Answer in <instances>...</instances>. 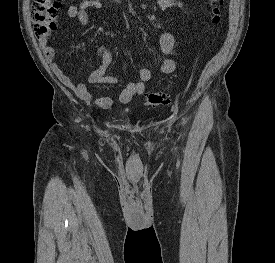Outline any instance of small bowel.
<instances>
[{
	"label": "small bowel",
	"instance_id": "obj_1",
	"mask_svg": "<svg viewBox=\"0 0 275 263\" xmlns=\"http://www.w3.org/2000/svg\"><path fill=\"white\" fill-rule=\"evenodd\" d=\"M157 6L162 11L172 7L182 8L187 11V8L180 0H157ZM90 9L102 10L104 9V4L101 0H83L78 4L70 5L66 9L65 14L68 18L76 19L82 26H86L90 21L88 13ZM158 38L161 52L164 55V59L158 67V72L164 75L172 74L177 69L176 61L170 57L174 51L175 38L171 33L161 27L158 28ZM39 45L53 73L62 84L72 89L78 97L85 101H94L101 108H109L113 105L114 101L111 97H97L86 85L75 84L71 78L65 74L59 64L54 61L55 49L48 43L47 36L39 40ZM98 54L102 63L99 68L88 76V82L91 84H117V77L106 75L107 70L112 64V53L105 46H100L98 48ZM154 75L155 71L153 69L148 67L141 68L138 73V81L128 83L120 91L117 98L118 102L126 104L133 96L142 95L145 92L147 83L153 79Z\"/></svg>",
	"mask_w": 275,
	"mask_h": 263
}]
</instances>
